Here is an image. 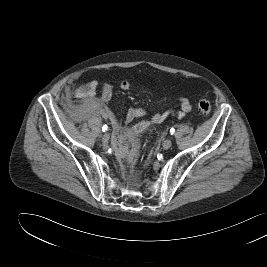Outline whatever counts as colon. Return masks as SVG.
I'll use <instances>...</instances> for the list:
<instances>
[{
	"label": "colon",
	"instance_id": "5ec220e1",
	"mask_svg": "<svg viewBox=\"0 0 267 267\" xmlns=\"http://www.w3.org/2000/svg\"><path fill=\"white\" fill-rule=\"evenodd\" d=\"M197 106H198L199 112L204 115H207L211 112L210 101L205 97H202L198 100Z\"/></svg>",
	"mask_w": 267,
	"mask_h": 267
}]
</instances>
